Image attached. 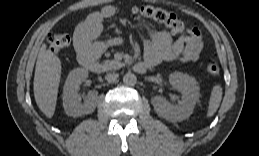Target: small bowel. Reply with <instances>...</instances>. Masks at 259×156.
<instances>
[{"mask_svg":"<svg viewBox=\"0 0 259 156\" xmlns=\"http://www.w3.org/2000/svg\"><path fill=\"white\" fill-rule=\"evenodd\" d=\"M116 9L112 5L103 6L100 10L90 13L81 21L74 33V46L79 54H89L97 58L108 46L119 45L121 38H114L107 42H96L101 33L104 21L113 17ZM144 61L148 66L161 62H193L197 61L203 50L201 32L198 28L192 30L190 37L181 35L174 40L168 30L145 27Z\"/></svg>","mask_w":259,"mask_h":156,"instance_id":"small-bowel-1","label":"small bowel"}]
</instances>
